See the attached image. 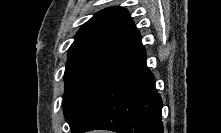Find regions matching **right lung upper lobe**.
Returning <instances> with one entry per match:
<instances>
[{
	"label": "right lung upper lobe",
	"mask_w": 221,
	"mask_h": 133,
	"mask_svg": "<svg viewBox=\"0 0 221 133\" xmlns=\"http://www.w3.org/2000/svg\"><path fill=\"white\" fill-rule=\"evenodd\" d=\"M145 52L141 35L123 7L95 14L78 31L65 71H102Z\"/></svg>",
	"instance_id": "right-lung-upper-lobe-1"
}]
</instances>
